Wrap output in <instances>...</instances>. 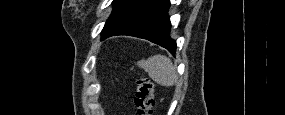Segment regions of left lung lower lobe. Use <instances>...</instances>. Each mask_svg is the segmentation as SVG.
<instances>
[{"label":"left lung lower lobe","mask_w":285,"mask_h":115,"mask_svg":"<svg viewBox=\"0 0 285 115\" xmlns=\"http://www.w3.org/2000/svg\"><path fill=\"white\" fill-rule=\"evenodd\" d=\"M169 6V0H130L107 23L102 40L114 35L136 36L175 54L176 41L170 38Z\"/></svg>","instance_id":"1"}]
</instances>
